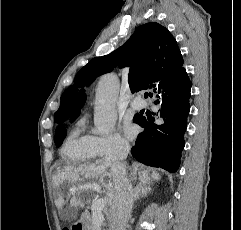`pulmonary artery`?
<instances>
[{
    "label": "pulmonary artery",
    "mask_w": 241,
    "mask_h": 230,
    "mask_svg": "<svg viewBox=\"0 0 241 230\" xmlns=\"http://www.w3.org/2000/svg\"><path fill=\"white\" fill-rule=\"evenodd\" d=\"M131 106L134 109H141L146 106V102L142 99H135L131 101Z\"/></svg>",
    "instance_id": "obj_1"
}]
</instances>
